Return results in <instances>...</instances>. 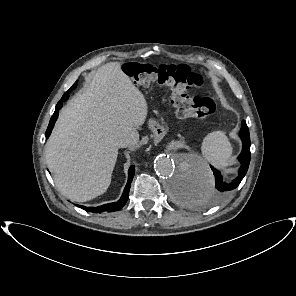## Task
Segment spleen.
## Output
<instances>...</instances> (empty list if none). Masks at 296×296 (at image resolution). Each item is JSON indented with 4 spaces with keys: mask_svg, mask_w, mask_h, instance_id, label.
I'll return each instance as SVG.
<instances>
[{
    "mask_svg": "<svg viewBox=\"0 0 296 296\" xmlns=\"http://www.w3.org/2000/svg\"><path fill=\"white\" fill-rule=\"evenodd\" d=\"M202 154L206 160L218 168H225L229 164L232 154L231 144L223 131L209 133L202 142ZM192 194H201L193 192Z\"/></svg>",
    "mask_w": 296,
    "mask_h": 296,
    "instance_id": "1",
    "label": "spleen"
}]
</instances>
